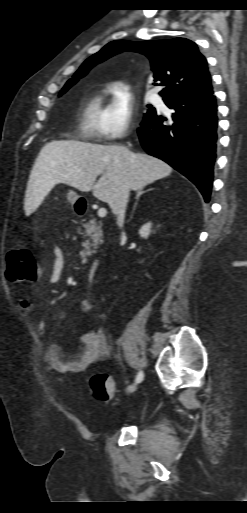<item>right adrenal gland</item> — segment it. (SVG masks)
Returning <instances> with one entry per match:
<instances>
[{
    "label": "right adrenal gland",
    "instance_id": "1",
    "mask_svg": "<svg viewBox=\"0 0 247 513\" xmlns=\"http://www.w3.org/2000/svg\"><path fill=\"white\" fill-rule=\"evenodd\" d=\"M148 191H150V189H149V190H146V191H142V190H137V191H136V202H135V204H134L133 210H135V208H136V206H137V204H138V200H139L140 196H141L142 194H144V193L148 192Z\"/></svg>",
    "mask_w": 247,
    "mask_h": 513
}]
</instances>
